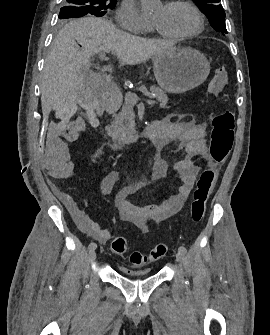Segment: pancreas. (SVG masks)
<instances>
[{
  "label": "pancreas",
  "mask_w": 270,
  "mask_h": 335,
  "mask_svg": "<svg viewBox=\"0 0 270 335\" xmlns=\"http://www.w3.org/2000/svg\"><path fill=\"white\" fill-rule=\"evenodd\" d=\"M150 92L151 94H155L157 102H160V108H165L166 104H168L166 92H164V90H161V88H157V86H151ZM133 124V108L132 106H125V108H122V112L115 116V120L114 122H112L108 134L109 136H111L112 140H119V142H121V140H125L128 134H131V132H133Z\"/></svg>",
  "instance_id": "cf45deb5"
}]
</instances>
